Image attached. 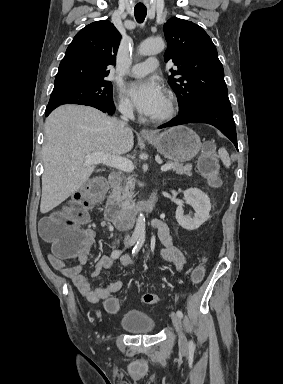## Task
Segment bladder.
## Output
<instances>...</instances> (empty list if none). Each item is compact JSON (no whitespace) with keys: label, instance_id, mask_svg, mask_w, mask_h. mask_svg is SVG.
Wrapping results in <instances>:
<instances>
[{"label":"bladder","instance_id":"1","mask_svg":"<svg viewBox=\"0 0 283 384\" xmlns=\"http://www.w3.org/2000/svg\"><path fill=\"white\" fill-rule=\"evenodd\" d=\"M157 326L154 317L140 308L125 310L119 321L120 328H124L129 335L136 336L151 335Z\"/></svg>","mask_w":283,"mask_h":384}]
</instances>
